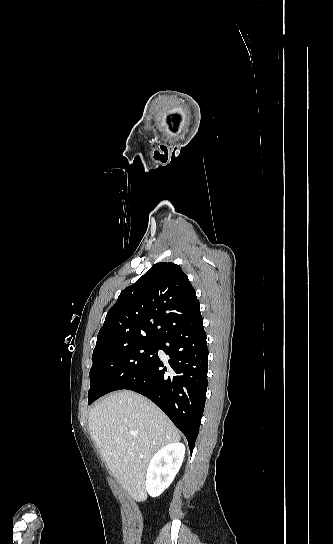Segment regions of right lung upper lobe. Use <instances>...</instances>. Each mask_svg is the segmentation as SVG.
I'll return each mask as SVG.
<instances>
[{"instance_id": "obj_1", "label": "right lung upper lobe", "mask_w": 333, "mask_h": 544, "mask_svg": "<svg viewBox=\"0 0 333 544\" xmlns=\"http://www.w3.org/2000/svg\"><path fill=\"white\" fill-rule=\"evenodd\" d=\"M196 292L181 267L160 262L125 288L108 311L93 355L138 339L159 340L200 313Z\"/></svg>"}]
</instances>
